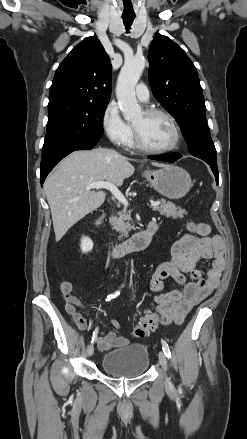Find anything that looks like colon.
Returning <instances> with one entry per match:
<instances>
[{
    "instance_id": "5ec220e1",
    "label": "colon",
    "mask_w": 247,
    "mask_h": 439,
    "mask_svg": "<svg viewBox=\"0 0 247 439\" xmlns=\"http://www.w3.org/2000/svg\"><path fill=\"white\" fill-rule=\"evenodd\" d=\"M187 229L191 232H197L200 229V225L194 222H189L187 224ZM160 320L161 315L156 309L147 311L138 322L133 331V334L136 337H144L149 331L155 329L158 326Z\"/></svg>"
}]
</instances>
